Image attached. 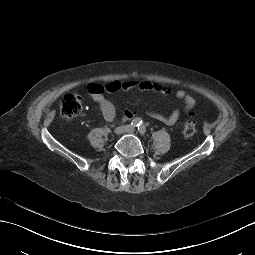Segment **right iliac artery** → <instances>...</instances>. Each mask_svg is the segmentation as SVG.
<instances>
[{
  "mask_svg": "<svg viewBox=\"0 0 255 255\" xmlns=\"http://www.w3.org/2000/svg\"><path fill=\"white\" fill-rule=\"evenodd\" d=\"M140 124H141L140 119L136 118V119L132 120L131 127L136 128V127H139Z\"/></svg>",
  "mask_w": 255,
  "mask_h": 255,
  "instance_id": "right-iliac-artery-1",
  "label": "right iliac artery"
}]
</instances>
